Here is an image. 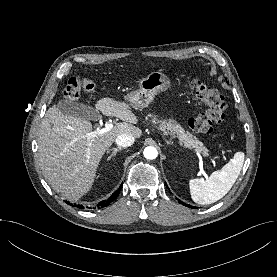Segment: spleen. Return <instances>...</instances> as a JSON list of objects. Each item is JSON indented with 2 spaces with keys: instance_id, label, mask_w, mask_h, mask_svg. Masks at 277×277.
Here are the masks:
<instances>
[{
  "instance_id": "spleen-1",
  "label": "spleen",
  "mask_w": 277,
  "mask_h": 277,
  "mask_svg": "<svg viewBox=\"0 0 277 277\" xmlns=\"http://www.w3.org/2000/svg\"><path fill=\"white\" fill-rule=\"evenodd\" d=\"M244 157L243 152H236L230 162L221 170L213 172L206 180H190L192 200L197 204L206 205L223 198L236 182L244 163Z\"/></svg>"
}]
</instances>
